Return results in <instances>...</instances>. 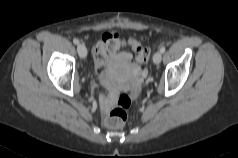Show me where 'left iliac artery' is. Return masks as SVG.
I'll return each mask as SVG.
<instances>
[{
    "label": "left iliac artery",
    "instance_id": "left-iliac-artery-1",
    "mask_svg": "<svg viewBox=\"0 0 238 158\" xmlns=\"http://www.w3.org/2000/svg\"><path fill=\"white\" fill-rule=\"evenodd\" d=\"M160 52H161V53H164V52H165V47H164V46H161Z\"/></svg>",
    "mask_w": 238,
    "mask_h": 158
}]
</instances>
